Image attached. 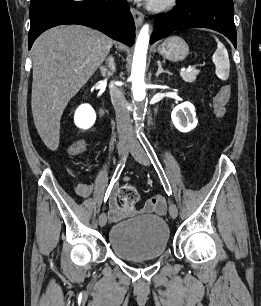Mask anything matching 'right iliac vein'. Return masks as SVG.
Masks as SVG:
<instances>
[{"label": "right iliac vein", "mask_w": 261, "mask_h": 306, "mask_svg": "<svg viewBox=\"0 0 261 306\" xmlns=\"http://www.w3.org/2000/svg\"><path fill=\"white\" fill-rule=\"evenodd\" d=\"M127 146H128V142L127 140H121L118 144V154L120 156L121 159H124L126 157V153H127ZM107 222V216L106 214L103 212L100 214L99 216V225L101 227H104L106 225Z\"/></svg>", "instance_id": "right-iliac-vein-1"}]
</instances>
